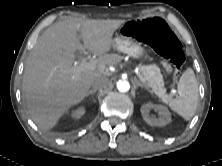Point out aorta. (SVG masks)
<instances>
[{
    "label": "aorta",
    "mask_w": 222,
    "mask_h": 166,
    "mask_svg": "<svg viewBox=\"0 0 222 166\" xmlns=\"http://www.w3.org/2000/svg\"><path fill=\"white\" fill-rule=\"evenodd\" d=\"M117 89L120 91V92H127L129 91L130 89V84L128 81L126 80H119L117 82Z\"/></svg>",
    "instance_id": "aorta-1"
}]
</instances>
